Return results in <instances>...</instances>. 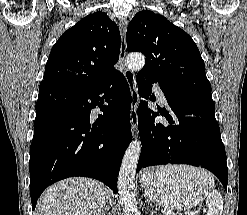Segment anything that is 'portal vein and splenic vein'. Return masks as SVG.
Masks as SVG:
<instances>
[{
  "instance_id": "1",
  "label": "portal vein and splenic vein",
  "mask_w": 247,
  "mask_h": 215,
  "mask_svg": "<svg viewBox=\"0 0 247 215\" xmlns=\"http://www.w3.org/2000/svg\"><path fill=\"white\" fill-rule=\"evenodd\" d=\"M203 212H206V210H203ZM190 215H194L193 213H191Z\"/></svg>"
}]
</instances>
